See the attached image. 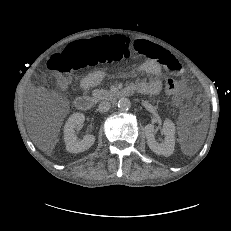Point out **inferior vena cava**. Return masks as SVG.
I'll use <instances>...</instances> for the list:
<instances>
[{"label": "inferior vena cava", "instance_id": "1", "mask_svg": "<svg viewBox=\"0 0 231 231\" xmlns=\"http://www.w3.org/2000/svg\"><path fill=\"white\" fill-rule=\"evenodd\" d=\"M111 107L110 102L102 101L98 106V111L101 113L107 112Z\"/></svg>", "mask_w": 231, "mask_h": 231}]
</instances>
